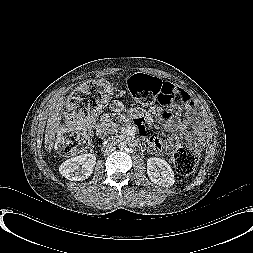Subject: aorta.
<instances>
[{
  "instance_id": "762f6f07",
  "label": "aorta",
  "mask_w": 253,
  "mask_h": 253,
  "mask_svg": "<svg viewBox=\"0 0 253 253\" xmlns=\"http://www.w3.org/2000/svg\"><path fill=\"white\" fill-rule=\"evenodd\" d=\"M118 147H119V149H120V150H122V151H123V150H125V149H126V147H127V146H126V144H125V143H123V142H122V143H120V144H119V146H118Z\"/></svg>"
}]
</instances>
